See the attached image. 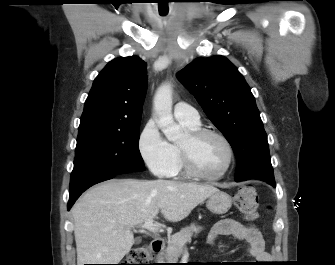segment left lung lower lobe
Segmentation results:
<instances>
[{"label":"left lung lower lobe","mask_w":335,"mask_h":265,"mask_svg":"<svg viewBox=\"0 0 335 265\" xmlns=\"http://www.w3.org/2000/svg\"><path fill=\"white\" fill-rule=\"evenodd\" d=\"M237 182L239 181V180H237V179H235ZM263 181H265V182H267L268 184H270L271 186H273V187H275V180L273 179V180H269V179H266V180H263Z\"/></svg>","instance_id":"obj_1"}]
</instances>
